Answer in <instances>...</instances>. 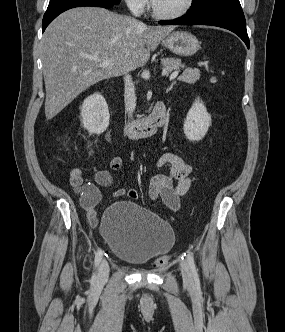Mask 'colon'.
<instances>
[{"mask_svg": "<svg viewBox=\"0 0 285 332\" xmlns=\"http://www.w3.org/2000/svg\"><path fill=\"white\" fill-rule=\"evenodd\" d=\"M168 261H169V258H168L167 256H163V257L158 258V259L154 262V264H155V266H158V267H159V266H163V265L167 264Z\"/></svg>", "mask_w": 285, "mask_h": 332, "instance_id": "1", "label": "colon"}]
</instances>
